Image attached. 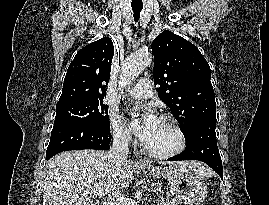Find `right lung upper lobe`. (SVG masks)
<instances>
[{"instance_id": "obj_1", "label": "right lung upper lobe", "mask_w": 269, "mask_h": 205, "mask_svg": "<svg viewBox=\"0 0 269 205\" xmlns=\"http://www.w3.org/2000/svg\"><path fill=\"white\" fill-rule=\"evenodd\" d=\"M113 54V43L108 37L79 50L68 67L57 106L102 101L110 78Z\"/></svg>"}]
</instances>
